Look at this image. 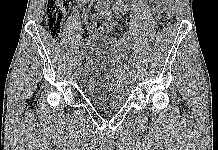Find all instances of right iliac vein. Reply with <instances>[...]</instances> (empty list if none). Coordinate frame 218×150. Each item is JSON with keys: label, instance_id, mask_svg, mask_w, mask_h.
<instances>
[{"label": "right iliac vein", "instance_id": "63e3f726", "mask_svg": "<svg viewBox=\"0 0 218 150\" xmlns=\"http://www.w3.org/2000/svg\"><path fill=\"white\" fill-rule=\"evenodd\" d=\"M80 59H81V57H79V61H78V62H80ZM79 66H80V63H79ZM79 66H78V68H77V72H79V69H80Z\"/></svg>", "mask_w": 218, "mask_h": 150}]
</instances>
